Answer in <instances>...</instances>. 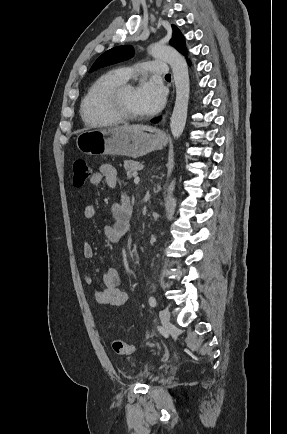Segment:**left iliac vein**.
<instances>
[{"instance_id":"left-iliac-vein-1","label":"left iliac vein","mask_w":287,"mask_h":434,"mask_svg":"<svg viewBox=\"0 0 287 434\" xmlns=\"http://www.w3.org/2000/svg\"><path fill=\"white\" fill-rule=\"evenodd\" d=\"M159 317L163 326H166L170 321V311L167 308L159 312Z\"/></svg>"}]
</instances>
